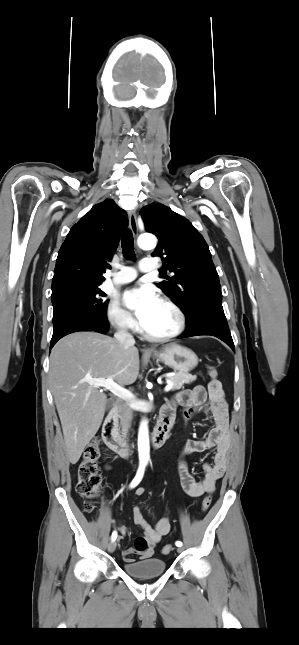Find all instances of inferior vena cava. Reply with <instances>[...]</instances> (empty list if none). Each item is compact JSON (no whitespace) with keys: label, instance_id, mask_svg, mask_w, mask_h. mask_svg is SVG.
Segmentation results:
<instances>
[{"label":"inferior vena cava","instance_id":"inferior-vena-cava-1","mask_svg":"<svg viewBox=\"0 0 299 645\" xmlns=\"http://www.w3.org/2000/svg\"><path fill=\"white\" fill-rule=\"evenodd\" d=\"M116 340L125 348L134 346L135 340L133 336L124 328H120L114 335ZM131 419V411L125 404H120V421L124 428L129 426Z\"/></svg>","mask_w":299,"mask_h":645}]
</instances>
